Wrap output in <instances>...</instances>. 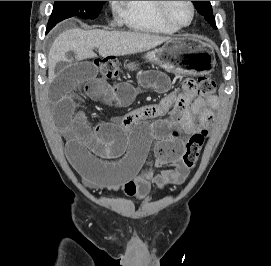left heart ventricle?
Listing matches in <instances>:
<instances>
[{"label":"left heart ventricle","instance_id":"b2bd125f","mask_svg":"<svg viewBox=\"0 0 271 266\" xmlns=\"http://www.w3.org/2000/svg\"><path fill=\"white\" fill-rule=\"evenodd\" d=\"M168 12L178 24H187L191 18V8L187 1H169Z\"/></svg>","mask_w":271,"mask_h":266}]
</instances>
